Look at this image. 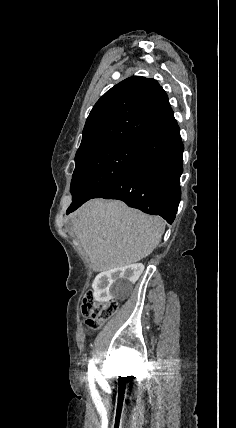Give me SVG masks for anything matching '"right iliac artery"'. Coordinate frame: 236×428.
Instances as JSON below:
<instances>
[{"instance_id":"1","label":"right iliac artery","mask_w":236,"mask_h":428,"mask_svg":"<svg viewBox=\"0 0 236 428\" xmlns=\"http://www.w3.org/2000/svg\"><path fill=\"white\" fill-rule=\"evenodd\" d=\"M97 373H98V371H97V368L94 364V361L90 360L89 364H88V374H97Z\"/></svg>"}]
</instances>
